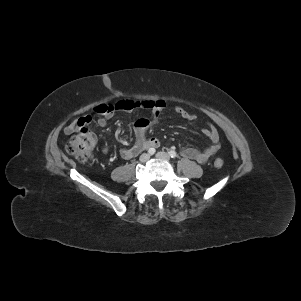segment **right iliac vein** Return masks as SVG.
Returning a JSON list of instances; mask_svg holds the SVG:
<instances>
[{
    "label": "right iliac vein",
    "mask_w": 301,
    "mask_h": 301,
    "mask_svg": "<svg viewBox=\"0 0 301 301\" xmlns=\"http://www.w3.org/2000/svg\"><path fill=\"white\" fill-rule=\"evenodd\" d=\"M148 158H149V154L144 153L140 156L139 160L141 163H144L148 160Z\"/></svg>",
    "instance_id": "obj_1"
}]
</instances>
